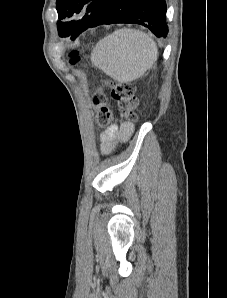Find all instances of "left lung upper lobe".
I'll use <instances>...</instances> for the list:
<instances>
[{
  "mask_svg": "<svg viewBox=\"0 0 227 298\" xmlns=\"http://www.w3.org/2000/svg\"><path fill=\"white\" fill-rule=\"evenodd\" d=\"M107 0H57L56 9L58 11L59 20L72 17L81 13L87 8L82 18L71 21H58V33L60 36H71V40L76 39L80 33L88 28L95 27L101 13L106 6Z\"/></svg>",
  "mask_w": 227,
  "mask_h": 298,
  "instance_id": "1",
  "label": "left lung upper lobe"
}]
</instances>
